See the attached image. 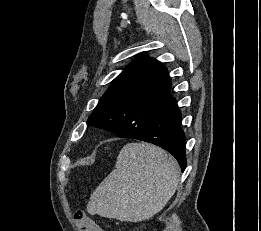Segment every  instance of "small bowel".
<instances>
[{
	"label": "small bowel",
	"instance_id": "small-bowel-1",
	"mask_svg": "<svg viewBox=\"0 0 261 231\" xmlns=\"http://www.w3.org/2000/svg\"><path fill=\"white\" fill-rule=\"evenodd\" d=\"M83 231H104L102 227L97 225L94 221L90 220V226L85 228Z\"/></svg>",
	"mask_w": 261,
	"mask_h": 231
}]
</instances>
